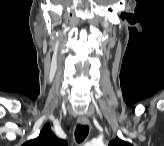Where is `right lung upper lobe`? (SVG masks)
I'll list each match as a JSON object with an SVG mask.
<instances>
[{"instance_id": "right-lung-upper-lobe-1", "label": "right lung upper lobe", "mask_w": 164, "mask_h": 146, "mask_svg": "<svg viewBox=\"0 0 164 146\" xmlns=\"http://www.w3.org/2000/svg\"><path fill=\"white\" fill-rule=\"evenodd\" d=\"M25 146H58L66 145V141L59 140L52 133L51 128L46 124L36 139L30 140L24 144Z\"/></svg>"}]
</instances>
